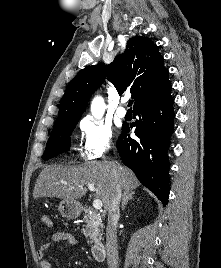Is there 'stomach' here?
<instances>
[{
  "label": "stomach",
  "mask_w": 221,
  "mask_h": 268,
  "mask_svg": "<svg viewBox=\"0 0 221 268\" xmlns=\"http://www.w3.org/2000/svg\"><path fill=\"white\" fill-rule=\"evenodd\" d=\"M59 212L67 219H76L82 210V207L77 201L62 200L58 207Z\"/></svg>",
  "instance_id": "0dacf381"
}]
</instances>
